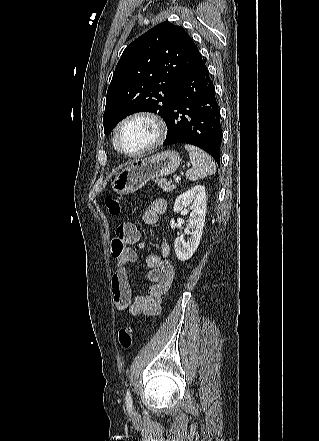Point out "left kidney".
<instances>
[{"mask_svg":"<svg viewBox=\"0 0 319 441\" xmlns=\"http://www.w3.org/2000/svg\"><path fill=\"white\" fill-rule=\"evenodd\" d=\"M206 199L205 188L202 185H197L179 195L175 201L173 208L175 213L186 210L188 204L193 202L189 208L191 213L187 224L189 236L185 239L184 235H181L176 238L174 243L175 253L180 261L190 259L199 246L205 222ZM170 226L175 229L178 224L174 219H171Z\"/></svg>","mask_w":319,"mask_h":441,"instance_id":"1","label":"left kidney"}]
</instances>
